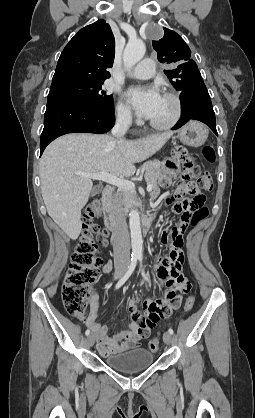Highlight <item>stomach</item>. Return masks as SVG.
Returning a JSON list of instances; mask_svg holds the SVG:
<instances>
[{
  "label": "stomach",
  "mask_w": 255,
  "mask_h": 418,
  "mask_svg": "<svg viewBox=\"0 0 255 418\" xmlns=\"http://www.w3.org/2000/svg\"><path fill=\"white\" fill-rule=\"evenodd\" d=\"M208 131L199 122L191 121L178 131L177 138L188 146H201L207 139Z\"/></svg>",
  "instance_id": "0dacf381"
}]
</instances>
